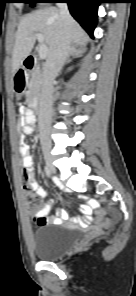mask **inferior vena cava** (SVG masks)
<instances>
[{
    "instance_id": "inferior-vena-cava-1",
    "label": "inferior vena cava",
    "mask_w": 136,
    "mask_h": 296,
    "mask_svg": "<svg viewBox=\"0 0 136 296\" xmlns=\"http://www.w3.org/2000/svg\"><path fill=\"white\" fill-rule=\"evenodd\" d=\"M61 25L58 39L43 68V82L39 98L38 123L42 144L50 145L53 106V82L65 63L71 45L70 13L66 3H58Z\"/></svg>"
}]
</instances>
